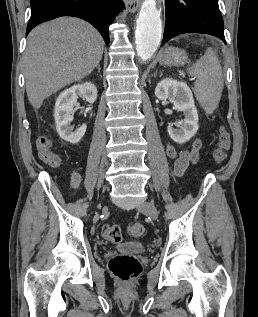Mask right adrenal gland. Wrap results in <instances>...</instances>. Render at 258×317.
<instances>
[{"label":"right adrenal gland","mask_w":258,"mask_h":317,"mask_svg":"<svg viewBox=\"0 0 258 317\" xmlns=\"http://www.w3.org/2000/svg\"><path fill=\"white\" fill-rule=\"evenodd\" d=\"M96 68H98L97 72H100V70H101L100 64H97ZM100 76H101V74H100Z\"/></svg>","instance_id":"1"}]
</instances>
